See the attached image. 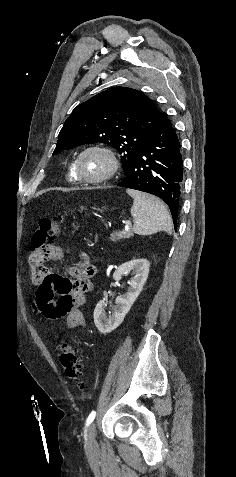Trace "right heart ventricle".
Here are the masks:
<instances>
[{
  "instance_id": "e07e8e85",
  "label": "right heart ventricle",
  "mask_w": 236,
  "mask_h": 477,
  "mask_svg": "<svg viewBox=\"0 0 236 477\" xmlns=\"http://www.w3.org/2000/svg\"><path fill=\"white\" fill-rule=\"evenodd\" d=\"M67 179L70 183H78L79 182V180L77 178V175L74 171V164L73 163L68 168Z\"/></svg>"
}]
</instances>
